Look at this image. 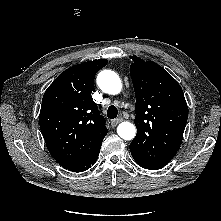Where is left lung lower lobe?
Instances as JSON below:
<instances>
[{
  "mask_svg": "<svg viewBox=\"0 0 221 221\" xmlns=\"http://www.w3.org/2000/svg\"><path fill=\"white\" fill-rule=\"evenodd\" d=\"M136 163H137L139 166H141V167H143V168H145V169H149V170H157V169H160V168L163 167V166H155V165L143 164V163L138 162V161H136Z\"/></svg>",
  "mask_w": 221,
  "mask_h": 221,
  "instance_id": "1",
  "label": "left lung lower lobe"
}]
</instances>
